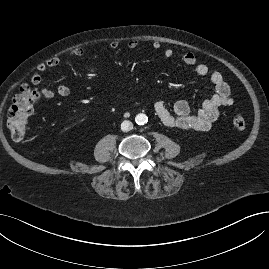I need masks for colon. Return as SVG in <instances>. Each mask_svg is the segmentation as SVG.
<instances>
[{
	"label": "colon",
	"mask_w": 269,
	"mask_h": 269,
	"mask_svg": "<svg viewBox=\"0 0 269 269\" xmlns=\"http://www.w3.org/2000/svg\"><path fill=\"white\" fill-rule=\"evenodd\" d=\"M40 93L28 85H23L13 99L7 116V128L12 139L19 141L25 136L27 121L33 114ZM233 125L238 131L246 128V122L239 113L233 117Z\"/></svg>",
	"instance_id": "5ec220e1"
}]
</instances>
